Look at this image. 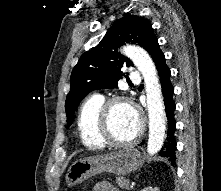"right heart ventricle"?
Masks as SVG:
<instances>
[{"mask_svg": "<svg viewBox=\"0 0 221 191\" xmlns=\"http://www.w3.org/2000/svg\"><path fill=\"white\" fill-rule=\"evenodd\" d=\"M104 103L100 95H92L81 105L77 117V129L82 144L89 149L106 147L98 133L99 111Z\"/></svg>", "mask_w": 221, "mask_h": 191, "instance_id": "obj_1", "label": "right heart ventricle"}]
</instances>
